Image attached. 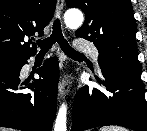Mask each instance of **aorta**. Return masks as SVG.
Returning <instances> with one entry per match:
<instances>
[{"label":"aorta","instance_id":"1","mask_svg":"<svg viewBox=\"0 0 147 131\" xmlns=\"http://www.w3.org/2000/svg\"><path fill=\"white\" fill-rule=\"evenodd\" d=\"M65 23L68 27H79L83 23V14L78 9H70L68 10L64 15ZM67 106L65 104H62L59 108L54 131H67L66 127V120H67Z\"/></svg>","mask_w":147,"mask_h":131}]
</instances>
